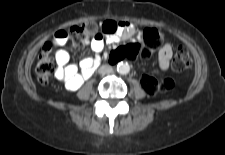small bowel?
I'll list each match as a JSON object with an SVG mask.
<instances>
[{
    "mask_svg": "<svg viewBox=\"0 0 225 155\" xmlns=\"http://www.w3.org/2000/svg\"><path fill=\"white\" fill-rule=\"evenodd\" d=\"M134 32V27L128 22L107 20L102 24V32L96 34L91 40L90 47L93 54L81 60L78 66L70 62L68 52L63 49L71 41V34L68 30L57 29L51 36V43L58 48L55 52L57 63L56 78L63 82L68 90H77L90 78L100 62V52L106 43H114L120 37H129ZM173 55L170 44H164L158 52V65L161 71L169 69Z\"/></svg>",
    "mask_w": 225,
    "mask_h": 155,
    "instance_id": "small-bowel-1",
    "label": "small bowel"
}]
</instances>
